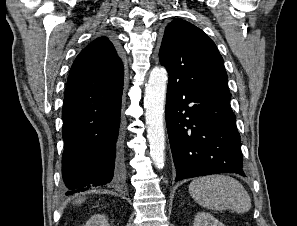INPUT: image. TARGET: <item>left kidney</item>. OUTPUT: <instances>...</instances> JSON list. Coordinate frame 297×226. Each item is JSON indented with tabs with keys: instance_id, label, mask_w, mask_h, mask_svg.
Returning a JSON list of instances; mask_svg holds the SVG:
<instances>
[{
	"instance_id": "1",
	"label": "left kidney",
	"mask_w": 297,
	"mask_h": 226,
	"mask_svg": "<svg viewBox=\"0 0 297 226\" xmlns=\"http://www.w3.org/2000/svg\"><path fill=\"white\" fill-rule=\"evenodd\" d=\"M193 226H224V224L211 214L200 212L196 215Z\"/></svg>"
}]
</instances>
